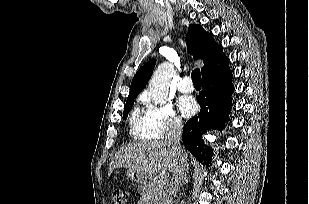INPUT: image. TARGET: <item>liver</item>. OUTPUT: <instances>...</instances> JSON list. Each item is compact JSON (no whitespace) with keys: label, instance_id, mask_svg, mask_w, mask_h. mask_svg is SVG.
Returning a JSON list of instances; mask_svg holds the SVG:
<instances>
[{"label":"liver","instance_id":"liver-1","mask_svg":"<svg viewBox=\"0 0 309 204\" xmlns=\"http://www.w3.org/2000/svg\"><path fill=\"white\" fill-rule=\"evenodd\" d=\"M176 161V154L166 140L130 143L115 154L109 168V175L113 169L120 167L148 176L159 171L173 172Z\"/></svg>","mask_w":309,"mask_h":204}]
</instances>
